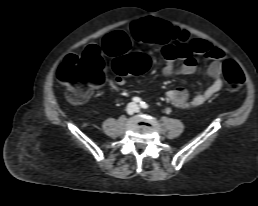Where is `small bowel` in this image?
Returning <instances> with one entry per match:
<instances>
[{
	"mask_svg": "<svg viewBox=\"0 0 258 206\" xmlns=\"http://www.w3.org/2000/svg\"><path fill=\"white\" fill-rule=\"evenodd\" d=\"M153 34L156 49L161 52L165 60L162 68L165 76L193 74L197 68L194 54L211 60L207 73L214 81L210 87L192 98L189 97L185 88L178 87L166 93L167 100L176 108L189 109L217 98L223 87V63L226 58L224 51L205 40L191 37L186 31H180L171 26L158 29ZM130 43L131 37L128 32L115 31L104 38L102 49L116 61L129 49ZM88 48L99 49L97 45H91ZM125 83L126 80L122 74L117 75L113 80V84L117 86H123Z\"/></svg>",
	"mask_w": 258,
	"mask_h": 206,
	"instance_id": "c3829d8e",
	"label": "small bowel"
}]
</instances>
